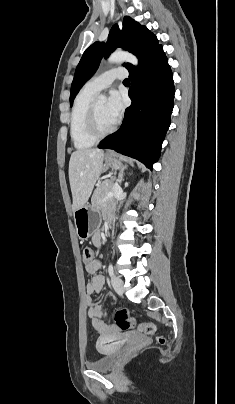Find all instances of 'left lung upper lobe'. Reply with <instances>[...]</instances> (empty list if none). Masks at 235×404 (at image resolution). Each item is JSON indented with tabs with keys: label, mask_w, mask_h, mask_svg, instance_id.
<instances>
[{
	"label": "left lung upper lobe",
	"mask_w": 235,
	"mask_h": 404,
	"mask_svg": "<svg viewBox=\"0 0 235 404\" xmlns=\"http://www.w3.org/2000/svg\"><path fill=\"white\" fill-rule=\"evenodd\" d=\"M117 47H121L136 55L139 59L140 66L144 60L157 51L161 45L158 44L156 36L146 27L141 26L132 18L125 16L122 30H120L118 25L115 24L110 30L108 41L106 43L95 42L84 52L76 68L75 76L71 85V106L80 88L97 70L101 59L103 57H108V55ZM124 66L129 72L137 68L130 63H124Z\"/></svg>",
	"instance_id": "1"
}]
</instances>
